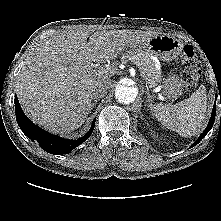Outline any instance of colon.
Here are the masks:
<instances>
[{
	"label": "colon",
	"instance_id": "obj_1",
	"mask_svg": "<svg viewBox=\"0 0 221 221\" xmlns=\"http://www.w3.org/2000/svg\"><path fill=\"white\" fill-rule=\"evenodd\" d=\"M182 80L189 86L196 84L199 77V62L192 45H186L182 53Z\"/></svg>",
	"mask_w": 221,
	"mask_h": 221
}]
</instances>
